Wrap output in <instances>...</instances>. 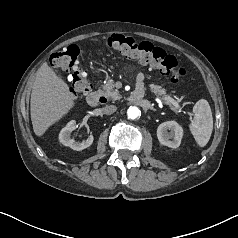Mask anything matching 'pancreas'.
<instances>
[{
    "mask_svg": "<svg viewBox=\"0 0 238 238\" xmlns=\"http://www.w3.org/2000/svg\"><path fill=\"white\" fill-rule=\"evenodd\" d=\"M149 88L150 91L157 96H162L163 98L170 97L166 95V90L159 85L150 84ZM101 93L104 94L107 98L112 99L113 101L119 100L122 97L119 91L115 89V83L112 79H108L107 82L103 85V91ZM179 109L180 107L174 106L175 111Z\"/></svg>",
    "mask_w": 238,
    "mask_h": 238,
    "instance_id": "obj_1",
    "label": "pancreas"
}]
</instances>
